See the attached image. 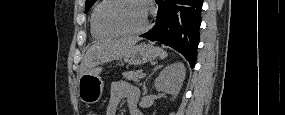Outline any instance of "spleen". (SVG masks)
<instances>
[{"instance_id": "1", "label": "spleen", "mask_w": 285, "mask_h": 115, "mask_svg": "<svg viewBox=\"0 0 285 115\" xmlns=\"http://www.w3.org/2000/svg\"><path fill=\"white\" fill-rule=\"evenodd\" d=\"M157 49H158L159 56H160L161 59H164V58H166L168 56L167 52L164 51L163 49H161V48H157Z\"/></svg>"}]
</instances>
